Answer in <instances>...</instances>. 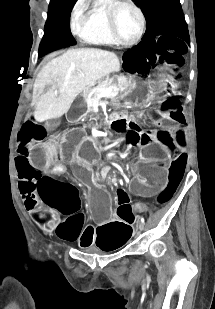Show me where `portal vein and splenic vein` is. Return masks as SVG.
<instances>
[{
	"instance_id": "portal-vein-and-splenic-vein-1",
	"label": "portal vein and splenic vein",
	"mask_w": 215,
	"mask_h": 309,
	"mask_svg": "<svg viewBox=\"0 0 215 309\" xmlns=\"http://www.w3.org/2000/svg\"><path fill=\"white\" fill-rule=\"evenodd\" d=\"M116 88H102L99 96H110V94H118L115 92Z\"/></svg>"
}]
</instances>
